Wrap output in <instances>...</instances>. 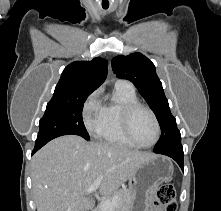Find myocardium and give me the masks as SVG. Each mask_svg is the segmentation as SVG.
<instances>
[{
	"label": "myocardium",
	"instance_id": "f54148a6",
	"mask_svg": "<svg viewBox=\"0 0 221 211\" xmlns=\"http://www.w3.org/2000/svg\"><path fill=\"white\" fill-rule=\"evenodd\" d=\"M140 109L146 110L151 115V117L154 121L155 129H156V136H155V139L153 140V142H151L150 144L139 143L135 139L133 132H132L133 116ZM121 124H122V130H123L125 137L136 147L150 148V147H153L159 141L161 131H160V124H159L158 118H157L156 114L154 113V111L149 106H147L139 101L126 104L122 108Z\"/></svg>",
	"mask_w": 221,
	"mask_h": 211
}]
</instances>
